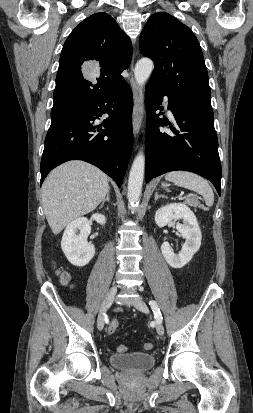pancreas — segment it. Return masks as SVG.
I'll list each match as a JSON object with an SVG mask.
<instances>
[{
  "instance_id": "obj_1",
  "label": "pancreas",
  "mask_w": 253,
  "mask_h": 413,
  "mask_svg": "<svg viewBox=\"0 0 253 413\" xmlns=\"http://www.w3.org/2000/svg\"><path fill=\"white\" fill-rule=\"evenodd\" d=\"M185 203L195 208L201 206L199 201L194 197H187L185 200Z\"/></svg>"
}]
</instances>
